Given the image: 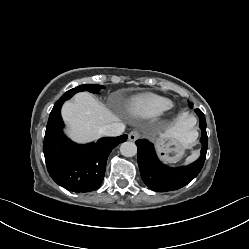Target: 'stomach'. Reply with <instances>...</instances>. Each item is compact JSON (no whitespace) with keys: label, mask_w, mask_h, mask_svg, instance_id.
<instances>
[{"label":"stomach","mask_w":249,"mask_h":249,"mask_svg":"<svg viewBox=\"0 0 249 249\" xmlns=\"http://www.w3.org/2000/svg\"><path fill=\"white\" fill-rule=\"evenodd\" d=\"M156 146L160 158L167 162L180 160L188 147L180 137L167 134L156 139Z\"/></svg>","instance_id":"0dacf381"}]
</instances>
